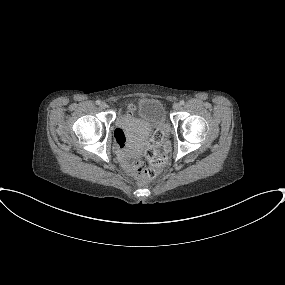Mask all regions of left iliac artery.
<instances>
[{"label":"left iliac artery","mask_w":285,"mask_h":285,"mask_svg":"<svg viewBox=\"0 0 285 285\" xmlns=\"http://www.w3.org/2000/svg\"><path fill=\"white\" fill-rule=\"evenodd\" d=\"M184 103H185V102H184L183 100H182V101H180V104H181V105H184Z\"/></svg>","instance_id":"left-iliac-artery-1"}]
</instances>
